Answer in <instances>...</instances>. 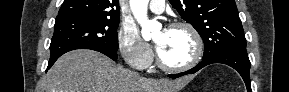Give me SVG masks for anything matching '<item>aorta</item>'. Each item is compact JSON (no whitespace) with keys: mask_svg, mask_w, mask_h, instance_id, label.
Segmentation results:
<instances>
[{"mask_svg":"<svg viewBox=\"0 0 289 92\" xmlns=\"http://www.w3.org/2000/svg\"><path fill=\"white\" fill-rule=\"evenodd\" d=\"M149 0H130V7L135 19L141 25V33L144 39L151 37V32L159 28V23L149 20L147 17V7Z\"/></svg>","mask_w":289,"mask_h":92,"instance_id":"obj_1","label":"aorta"}]
</instances>
